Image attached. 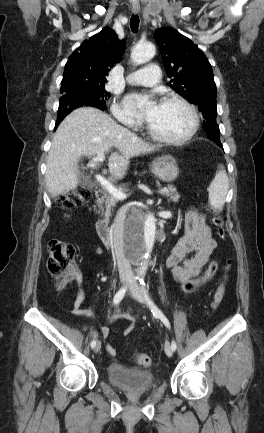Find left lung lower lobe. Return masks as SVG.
I'll return each instance as SVG.
<instances>
[{"label":"left lung lower lobe","mask_w":264,"mask_h":433,"mask_svg":"<svg viewBox=\"0 0 264 433\" xmlns=\"http://www.w3.org/2000/svg\"><path fill=\"white\" fill-rule=\"evenodd\" d=\"M205 123H206V125H210L212 123H216V121L215 120L204 121V126H205ZM215 143H217L223 149V146L219 140L215 141Z\"/></svg>","instance_id":"1"}]
</instances>
